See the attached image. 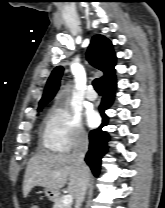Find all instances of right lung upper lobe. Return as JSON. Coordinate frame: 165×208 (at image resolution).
I'll return each instance as SVG.
<instances>
[{
    "label": "right lung upper lobe",
    "instance_id": "right-lung-upper-lobe-1",
    "mask_svg": "<svg viewBox=\"0 0 165 208\" xmlns=\"http://www.w3.org/2000/svg\"><path fill=\"white\" fill-rule=\"evenodd\" d=\"M112 47L113 45L111 41L107 38L102 35H95L93 36L87 51V60L90 64L104 73V75L100 78L102 85L115 77L114 66L116 56ZM62 73V66H58L52 71L47 81L43 96L39 102L38 110H41L42 107L55 96L60 86Z\"/></svg>",
    "mask_w": 165,
    "mask_h": 208
}]
</instances>
